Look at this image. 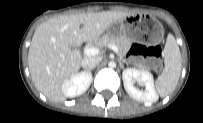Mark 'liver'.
Returning <instances> with one entry per match:
<instances>
[{
    "instance_id": "1",
    "label": "liver",
    "mask_w": 203,
    "mask_h": 123,
    "mask_svg": "<svg viewBox=\"0 0 203 123\" xmlns=\"http://www.w3.org/2000/svg\"><path fill=\"white\" fill-rule=\"evenodd\" d=\"M130 14L126 11H103L61 15L37 27L28 52L29 70L37 90L51 102L65 101L62 86L77 74L83 60L80 52L72 50V47L96 40Z\"/></svg>"
}]
</instances>
